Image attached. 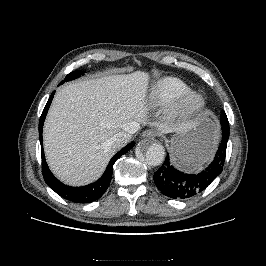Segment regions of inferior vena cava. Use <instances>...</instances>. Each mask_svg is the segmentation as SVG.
Segmentation results:
<instances>
[{"mask_svg":"<svg viewBox=\"0 0 266 266\" xmlns=\"http://www.w3.org/2000/svg\"><path fill=\"white\" fill-rule=\"evenodd\" d=\"M139 125L133 123L130 125L127 131H121L115 134L111 139V145L115 149H120L124 147L131 139L132 135L138 131Z\"/></svg>","mask_w":266,"mask_h":266,"instance_id":"inferior-vena-cava-1","label":"inferior vena cava"}]
</instances>
